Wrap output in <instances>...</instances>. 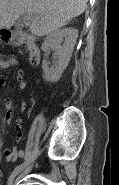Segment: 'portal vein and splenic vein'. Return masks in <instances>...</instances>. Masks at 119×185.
Instances as JSON below:
<instances>
[{
  "instance_id": "1",
  "label": "portal vein and splenic vein",
  "mask_w": 119,
  "mask_h": 185,
  "mask_svg": "<svg viewBox=\"0 0 119 185\" xmlns=\"http://www.w3.org/2000/svg\"><path fill=\"white\" fill-rule=\"evenodd\" d=\"M27 19H28V20H31V19H32V15H31V14L27 15ZM24 23H25V22H24Z\"/></svg>"
}]
</instances>
